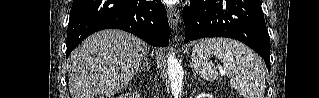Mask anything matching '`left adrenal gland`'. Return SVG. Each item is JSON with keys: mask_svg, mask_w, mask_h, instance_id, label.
Instances as JSON below:
<instances>
[{"mask_svg": "<svg viewBox=\"0 0 319 98\" xmlns=\"http://www.w3.org/2000/svg\"><path fill=\"white\" fill-rule=\"evenodd\" d=\"M193 74H194V78H196V74H195L194 70H193Z\"/></svg>", "mask_w": 319, "mask_h": 98, "instance_id": "a2214340", "label": "left adrenal gland"}]
</instances>
